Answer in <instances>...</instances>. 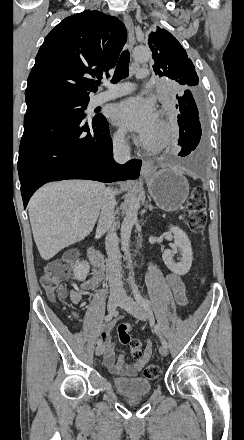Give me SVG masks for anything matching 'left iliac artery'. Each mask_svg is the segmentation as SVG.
<instances>
[{
	"mask_svg": "<svg viewBox=\"0 0 244 440\" xmlns=\"http://www.w3.org/2000/svg\"><path fill=\"white\" fill-rule=\"evenodd\" d=\"M133 294H134V298H135V300L137 301V303H138L140 306H142V307H143L144 309H146V310H148V309L151 308V302H150L148 299L144 298V297L140 294V291L138 290L137 287H134V288H133ZM154 330H155L156 334L159 336L162 345H164V346L167 347V346H168V343H167L166 339L161 335V330H160V327H159L158 324L155 325Z\"/></svg>",
	"mask_w": 244,
	"mask_h": 440,
	"instance_id": "obj_1",
	"label": "left iliac artery"
}]
</instances>
